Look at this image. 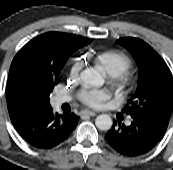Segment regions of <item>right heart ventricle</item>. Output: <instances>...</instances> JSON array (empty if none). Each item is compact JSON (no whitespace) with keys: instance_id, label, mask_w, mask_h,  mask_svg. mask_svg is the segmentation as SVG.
Listing matches in <instances>:
<instances>
[{"instance_id":"right-heart-ventricle-1","label":"right heart ventricle","mask_w":173,"mask_h":170,"mask_svg":"<svg viewBox=\"0 0 173 170\" xmlns=\"http://www.w3.org/2000/svg\"><path fill=\"white\" fill-rule=\"evenodd\" d=\"M99 61L103 63L107 68L112 69L114 74L122 72L126 67V62L123 59H112L108 55L101 56L99 58Z\"/></svg>"}]
</instances>
